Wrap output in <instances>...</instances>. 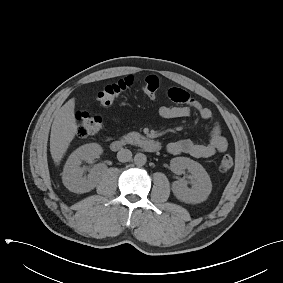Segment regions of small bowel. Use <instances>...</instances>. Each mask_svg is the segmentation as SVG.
I'll list each match as a JSON object with an SVG mask.
<instances>
[{
  "label": "small bowel",
  "instance_id": "small-bowel-1",
  "mask_svg": "<svg viewBox=\"0 0 283 283\" xmlns=\"http://www.w3.org/2000/svg\"><path fill=\"white\" fill-rule=\"evenodd\" d=\"M171 101L177 103L175 106H161L159 115L164 119L183 118L191 115L195 110L201 118L209 120L212 118L211 109L204 107L200 102L193 99L185 90L172 87L167 91ZM228 148V142L222 135L221 127L214 123L209 140L206 143L195 142L188 138L179 139L170 142L167 145V151L173 155L189 154L195 158H209L217 153L225 152Z\"/></svg>",
  "mask_w": 283,
  "mask_h": 283
}]
</instances>
